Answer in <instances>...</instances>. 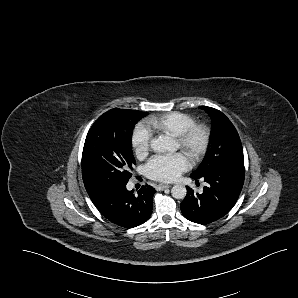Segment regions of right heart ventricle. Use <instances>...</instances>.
Instances as JSON below:
<instances>
[{
	"label": "right heart ventricle",
	"mask_w": 298,
	"mask_h": 298,
	"mask_svg": "<svg viewBox=\"0 0 298 298\" xmlns=\"http://www.w3.org/2000/svg\"><path fill=\"white\" fill-rule=\"evenodd\" d=\"M194 119L187 114L171 113L164 115L159 119H150L147 121L149 127H153L162 133L170 134L173 131L193 124Z\"/></svg>",
	"instance_id": "1"
}]
</instances>
